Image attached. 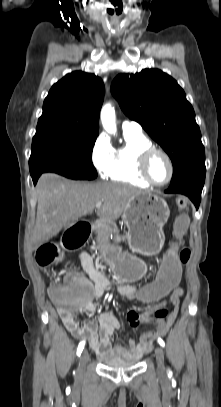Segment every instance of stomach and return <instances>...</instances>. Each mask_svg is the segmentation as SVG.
Listing matches in <instances>:
<instances>
[{"label": "stomach", "instance_id": "1", "mask_svg": "<svg viewBox=\"0 0 221 407\" xmlns=\"http://www.w3.org/2000/svg\"><path fill=\"white\" fill-rule=\"evenodd\" d=\"M169 216L170 210L163 198L146 192L132 196L122 215L132 252L146 256L158 254L165 239L163 226ZM111 262L116 274L126 282L138 280L145 271L144 262L134 254L115 252Z\"/></svg>", "mask_w": 221, "mask_h": 407}]
</instances>
